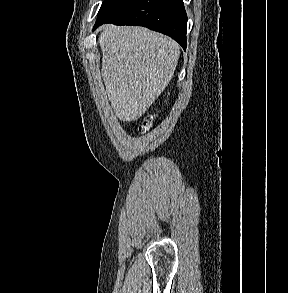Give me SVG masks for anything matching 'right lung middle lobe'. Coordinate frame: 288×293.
<instances>
[{
	"mask_svg": "<svg viewBox=\"0 0 288 293\" xmlns=\"http://www.w3.org/2000/svg\"><path fill=\"white\" fill-rule=\"evenodd\" d=\"M128 0H104L97 16L95 25L102 23L110 18Z\"/></svg>",
	"mask_w": 288,
	"mask_h": 293,
	"instance_id": "obj_1",
	"label": "right lung middle lobe"
}]
</instances>
